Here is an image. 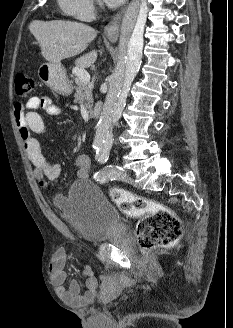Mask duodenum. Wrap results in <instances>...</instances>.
Listing matches in <instances>:
<instances>
[{
    "label": "duodenum",
    "instance_id": "obj_1",
    "mask_svg": "<svg viewBox=\"0 0 233 328\" xmlns=\"http://www.w3.org/2000/svg\"><path fill=\"white\" fill-rule=\"evenodd\" d=\"M102 110V103L98 102L96 105H95V108L92 112V117L96 118L99 116L100 112Z\"/></svg>",
    "mask_w": 233,
    "mask_h": 328
}]
</instances>
